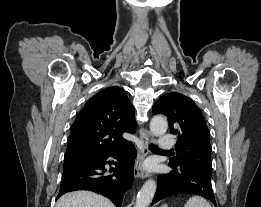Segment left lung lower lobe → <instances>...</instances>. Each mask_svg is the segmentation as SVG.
Masks as SVG:
<instances>
[{"mask_svg":"<svg viewBox=\"0 0 261 207\" xmlns=\"http://www.w3.org/2000/svg\"><path fill=\"white\" fill-rule=\"evenodd\" d=\"M169 166L168 174L158 176V187L152 204L177 194H196L210 200L217 207L211 185V176L186 166Z\"/></svg>","mask_w":261,"mask_h":207,"instance_id":"1","label":"left lung lower lobe"}]
</instances>
